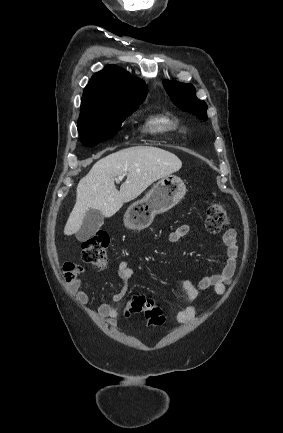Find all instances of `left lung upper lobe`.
Returning a JSON list of instances; mask_svg holds the SVG:
<instances>
[{
  "mask_svg": "<svg viewBox=\"0 0 283 433\" xmlns=\"http://www.w3.org/2000/svg\"><path fill=\"white\" fill-rule=\"evenodd\" d=\"M164 88L173 102L182 110L196 115L202 120L207 119V105L196 97V90L191 84H183L165 80Z\"/></svg>",
  "mask_w": 283,
  "mask_h": 433,
  "instance_id": "1",
  "label": "left lung upper lobe"
}]
</instances>
